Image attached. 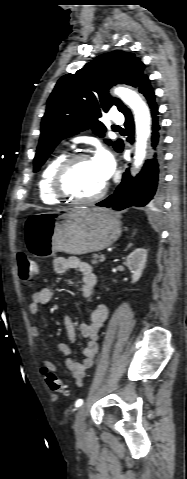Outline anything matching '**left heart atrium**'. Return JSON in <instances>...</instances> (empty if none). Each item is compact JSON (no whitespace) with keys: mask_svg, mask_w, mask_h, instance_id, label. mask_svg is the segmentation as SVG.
I'll list each match as a JSON object with an SVG mask.
<instances>
[{"mask_svg":"<svg viewBox=\"0 0 187 479\" xmlns=\"http://www.w3.org/2000/svg\"><path fill=\"white\" fill-rule=\"evenodd\" d=\"M92 160L103 180L107 181L115 169L112 155L107 150L101 148L97 151Z\"/></svg>","mask_w":187,"mask_h":479,"instance_id":"39dd6f15","label":"left heart atrium"}]
</instances>
